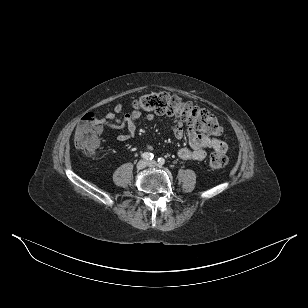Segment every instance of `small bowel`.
Returning <instances> with one entry per match:
<instances>
[{
    "mask_svg": "<svg viewBox=\"0 0 308 308\" xmlns=\"http://www.w3.org/2000/svg\"><path fill=\"white\" fill-rule=\"evenodd\" d=\"M155 119V115L148 113L142 116L140 110L136 109L131 113H123L121 104H117L114 112L108 113L104 118L100 119L102 126H107L113 129L122 130L117 136L120 142L131 140L139 130L142 120L151 122ZM174 136L181 139L186 134L189 147H182L178 150L177 155L181 160L202 161L206 158V148H211L223 154L227 151V144L218 138L209 137L198 133L193 127L184 129L180 121H175L172 126ZM150 148V146H148Z\"/></svg>",
    "mask_w": 308,
    "mask_h": 308,
    "instance_id": "1",
    "label": "small bowel"
}]
</instances>
